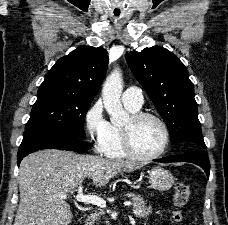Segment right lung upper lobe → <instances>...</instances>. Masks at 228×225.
<instances>
[{"mask_svg":"<svg viewBox=\"0 0 228 225\" xmlns=\"http://www.w3.org/2000/svg\"><path fill=\"white\" fill-rule=\"evenodd\" d=\"M107 65L106 49L80 46L56 62L40 87H58L93 98L105 77Z\"/></svg>","mask_w":228,"mask_h":225,"instance_id":"cb5924a9","label":"right lung upper lobe"}]
</instances>
